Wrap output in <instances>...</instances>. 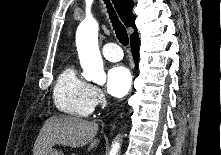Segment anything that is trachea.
<instances>
[{
	"mask_svg": "<svg viewBox=\"0 0 221 155\" xmlns=\"http://www.w3.org/2000/svg\"><path fill=\"white\" fill-rule=\"evenodd\" d=\"M105 3L107 4L109 17L111 19V22H112V25H113V28L115 30L118 40L120 41L121 44L128 45L129 38H128V34H127L125 27L118 20V17L116 15L113 7L109 3V1L105 0Z\"/></svg>",
	"mask_w": 221,
	"mask_h": 155,
	"instance_id": "3493384b",
	"label": "trachea"
}]
</instances>
